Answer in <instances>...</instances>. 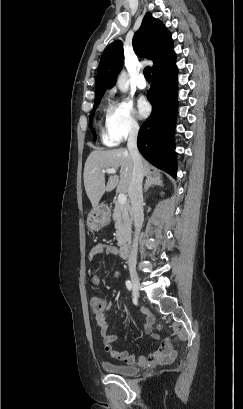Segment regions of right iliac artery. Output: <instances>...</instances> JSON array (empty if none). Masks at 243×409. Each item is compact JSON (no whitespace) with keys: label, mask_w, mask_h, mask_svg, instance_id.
Here are the masks:
<instances>
[{"label":"right iliac artery","mask_w":243,"mask_h":409,"mask_svg":"<svg viewBox=\"0 0 243 409\" xmlns=\"http://www.w3.org/2000/svg\"><path fill=\"white\" fill-rule=\"evenodd\" d=\"M126 287H127V289L128 290H132V284H131V282L130 281H126Z\"/></svg>","instance_id":"right-iliac-artery-1"}]
</instances>
